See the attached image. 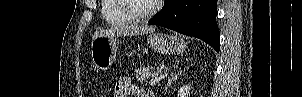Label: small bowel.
I'll list each match as a JSON object with an SVG mask.
<instances>
[{
    "mask_svg": "<svg viewBox=\"0 0 302 97\" xmlns=\"http://www.w3.org/2000/svg\"><path fill=\"white\" fill-rule=\"evenodd\" d=\"M130 92H133L135 97H142V95H144V93L132 83L129 77H121L116 83L114 96L128 97Z\"/></svg>",
    "mask_w": 302,
    "mask_h": 97,
    "instance_id": "obj_1",
    "label": "small bowel"
}]
</instances>
